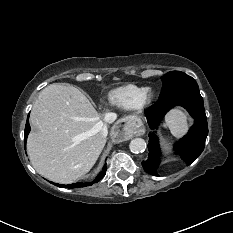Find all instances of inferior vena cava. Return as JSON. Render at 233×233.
<instances>
[{"label":"inferior vena cava","mask_w":233,"mask_h":233,"mask_svg":"<svg viewBox=\"0 0 233 233\" xmlns=\"http://www.w3.org/2000/svg\"><path fill=\"white\" fill-rule=\"evenodd\" d=\"M116 118H117V115L115 113H105V115H104V121L107 124L113 123L116 120ZM107 134H108V129H107L106 125H103V127L100 130V135L104 139H106Z\"/></svg>","instance_id":"1"}]
</instances>
